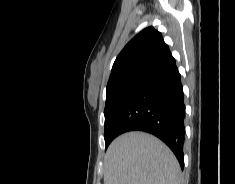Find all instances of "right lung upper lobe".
Listing matches in <instances>:
<instances>
[{
  "mask_svg": "<svg viewBox=\"0 0 235 184\" xmlns=\"http://www.w3.org/2000/svg\"><path fill=\"white\" fill-rule=\"evenodd\" d=\"M171 56L162 34L147 27L131 39L117 56L106 92L120 87L128 79L143 78L159 63Z\"/></svg>",
  "mask_w": 235,
  "mask_h": 184,
  "instance_id": "cb5924a9",
  "label": "right lung upper lobe"
}]
</instances>
